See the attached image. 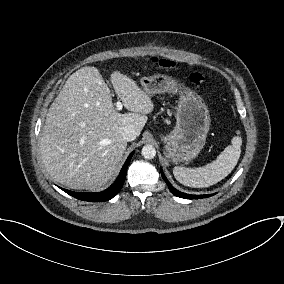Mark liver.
<instances>
[{
  "instance_id": "1",
  "label": "liver",
  "mask_w": 284,
  "mask_h": 284,
  "mask_svg": "<svg viewBox=\"0 0 284 284\" xmlns=\"http://www.w3.org/2000/svg\"><path fill=\"white\" fill-rule=\"evenodd\" d=\"M110 81L130 112H117L100 71L89 66L67 79L48 110L40 138L42 161L52 178L69 188L95 191L111 182L127 147L124 128L139 136L154 109L131 78L114 71Z\"/></svg>"
}]
</instances>
